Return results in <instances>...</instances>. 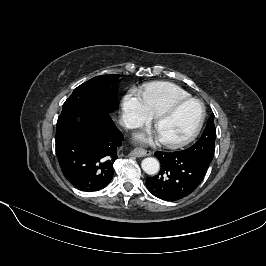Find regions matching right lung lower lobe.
<instances>
[{
  "mask_svg": "<svg viewBox=\"0 0 266 266\" xmlns=\"http://www.w3.org/2000/svg\"><path fill=\"white\" fill-rule=\"evenodd\" d=\"M79 115L81 122L75 123ZM55 139L61 170L74 187L91 192L110 183L123 135L108 112L62 110Z\"/></svg>",
  "mask_w": 266,
  "mask_h": 266,
  "instance_id": "1",
  "label": "right lung lower lobe"
}]
</instances>
